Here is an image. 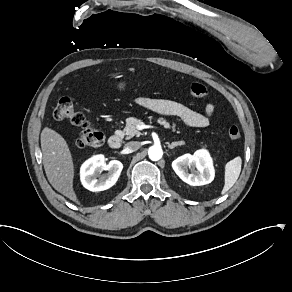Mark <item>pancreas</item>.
I'll return each mask as SVG.
<instances>
[{
  "label": "pancreas",
  "mask_w": 292,
  "mask_h": 292,
  "mask_svg": "<svg viewBox=\"0 0 292 292\" xmlns=\"http://www.w3.org/2000/svg\"><path fill=\"white\" fill-rule=\"evenodd\" d=\"M157 122L161 125H163L165 128H170V124L164 119V118H159ZM141 124V121L134 118V117H129L126 119V126L123 130L125 135H127L126 139H130L134 137L135 135L140 136L141 133L140 131L137 130V125ZM176 125L173 123L172 125V130L176 131ZM116 135L123 137V135L120 133V131H116Z\"/></svg>",
  "instance_id": "obj_1"
}]
</instances>
